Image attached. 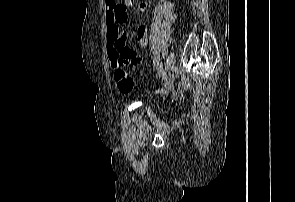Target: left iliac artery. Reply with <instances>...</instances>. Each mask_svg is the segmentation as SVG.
Segmentation results:
<instances>
[{"instance_id":"1","label":"left iliac artery","mask_w":295,"mask_h":202,"mask_svg":"<svg viewBox=\"0 0 295 202\" xmlns=\"http://www.w3.org/2000/svg\"><path fill=\"white\" fill-rule=\"evenodd\" d=\"M163 58L167 56V51H163L162 53Z\"/></svg>"}]
</instances>
